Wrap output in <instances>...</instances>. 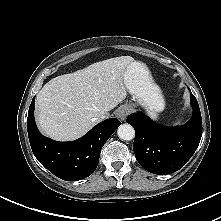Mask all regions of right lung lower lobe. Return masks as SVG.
<instances>
[{
  "label": "right lung lower lobe",
  "instance_id": "98d812e1",
  "mask_svg": "<svg viewBox=\"0 0 221 221\" xmlns=\"http://www.w3.org/2000/svg\"><path fill=\"white\" fill-rule=\"evenodd\" d=\"M35 97L28 111L27 131L33 154L50 172L66 181H78L90 176L97 168L100 152L121 125L116 118L102 121L86 135L72 142H58L43 136L34 120Z\"/></svg>",
  "mask_w": 221,
  "mask_h": 221
}]
</instances>
